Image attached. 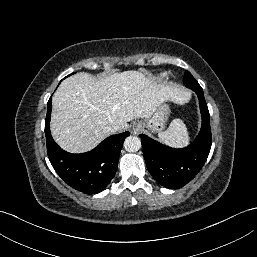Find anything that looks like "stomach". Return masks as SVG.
I'll return each instance as SVG.
<instances>
[{"instance_id": "obj_1", "label": "stomach", "mask_w": 257, "mask_h": 257, "mask_svg": "<svg viewBox=\"0 0 257 257\" xmlns=\"http://www.w3.org/2000/svg\"><path fill=\"white\" fill-rule=\"evenodd\" d=\"M169 112V106L166 103H162L157 107L151 117L143 121L142 124L152 130V132L161 133L165 128Z\"/></svg>"}]
</instances>
